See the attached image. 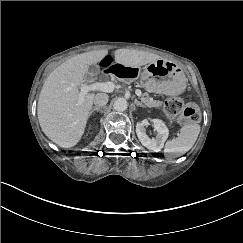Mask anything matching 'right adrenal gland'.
<instances>
[{"label":"right adrenal gland","instance_id":"2a0ac1e0","mask_svg":"<svg viewBox=\"0 0 243 243\" xmlns=\"http://www.w3.org/2000/svg\"><path fill=\"white\" fill-rule=\"evenodd\" d=\"M100 111H101V107H95V108H93V109L90 111V113H89V117H91L92 114H93L94 112L99 113Z\"/></svg>","mask_w":243,"mask_h":243}]
</instances>
